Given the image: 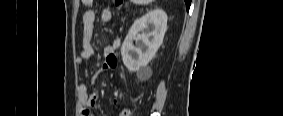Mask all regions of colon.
I'll use <instances>...</instances> for the list:
<instances>
[{
	"instance_id": "5ec220e1",
	"label": "colon",
	"mask_w": 283,
	"mask_h": 116,
	"mask_svg": "<svg viewBox=\"0 0 283 116\" xmlns=\"http://www.w3.org/2000/svg\"><path fill=\"white\" fill-rule=\"evenodd\" d=\"M115 4H116L117 7L121 8L124 5V1L123 0H116Z\"/></svg>"
}]
</instances>
